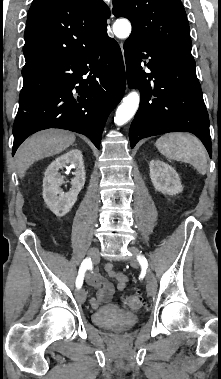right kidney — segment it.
<instances>
[{"mask_svg": "<svg viewBox=\"0 0 221 379\" xmlns=\"http://www.w3.org/2000/svg\"><path fill=\"white\" fill-rule=\"evenodd\" d=\"M67 165L75 168V177L71 180L69 192L65 193L60 189L65 181L59 170ZM84 184L85 168L82 152L78 149H72L57 157L46 169L43 178V199L55 215L64 216L74 206Z\"/></svg>", "mask_w": 221, "mask_h": 379, "instance_id": "obj_1", "label": "right kidney"}]
</instances>
